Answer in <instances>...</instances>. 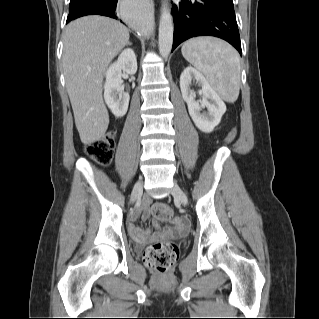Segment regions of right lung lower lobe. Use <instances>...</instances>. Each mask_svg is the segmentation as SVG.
I'll list each match as a JSON object with an SVG mask.
<instances>
[{"mask_svg":"<svg viewBox=\"0 0 319 319\" xmlns=\"http://www.w3.org/2000/svg\"><path fill=\"white\" fill-rule=\"evenodd\" d=\"M118 0H83L69 11L67 22L86 15H103L118 19L116 14Z\"/></svg>","mask_w":319,"mask_h":319,"instance_id":"obj_1","label":"right lung lower lobe"}]
</instances>
